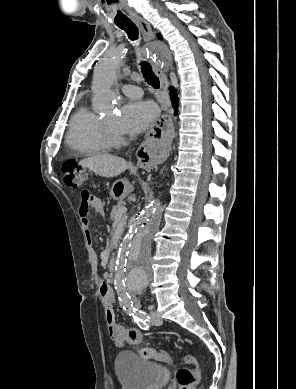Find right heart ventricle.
<instances>
[{
  "label": "right heart ventricle",
  "instance_id": "right-heart-ventricle-1",
  "mask_svg": "<svg viewBox=\"0 0 296 389\" xmlns=\"http://www.w3.org/2000/svg\"><path fill=\"white\" fill-rule=\"evenodd\" d=\"M66 143L73 152L80 155L104 153L108 146L102 133V119L86 107L79 108L71 119Z\"/></svg>",
  "mask_w": 296,
  "mask_h": 389
}]
</instances>
